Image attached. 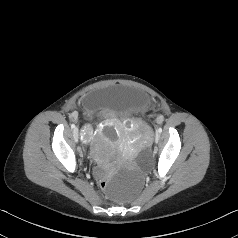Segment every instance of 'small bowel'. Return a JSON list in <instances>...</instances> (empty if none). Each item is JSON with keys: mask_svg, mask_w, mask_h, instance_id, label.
<instances>
[{"mask_svg": "<svg viewBox=\"0 0 238 238\" xmlns=\"http://www.w3.org/2000/svg\"><path fill=\"white\" fill-rule=\"evenodd\" d=\"M70 118L73 119V120H75V119L77 118V115L74 114V113H72V114L70 115Z\"/></svg>", "mask_w": 238, "mask_h": 238, "instance_id": "c3829d8e", "label": "small bowel"}]
</instances>
